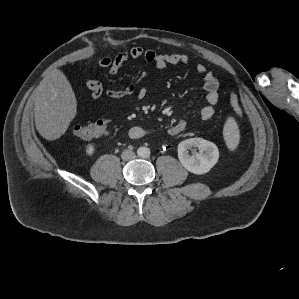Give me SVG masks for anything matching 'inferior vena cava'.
Segmentation results:
<instances>
[{
    "mask_svg": "<svg viewBox=\"0 0 299 299\" xmlns=\"http://www.w3.org/2000/svg\"><path fill=\"white\" fill-rule=\"evenodd\" d=\"M136 157L135 153L131 150H124L121 154V158L124 160V161H129V160H132Z\"/></svg>",
    "mask_w": 299,
    "mask_h": 299,
    "instance_id": "inferior-vena-cava-1",
    "label": "inferior vena cava"
}]
</instances>
